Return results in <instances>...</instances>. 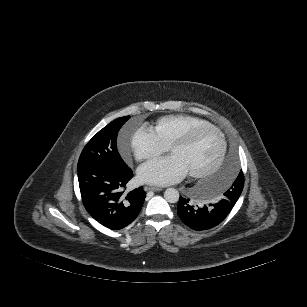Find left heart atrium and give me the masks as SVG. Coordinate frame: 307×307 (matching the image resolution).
<instances>
[{
    "label": "left heart atrium",
    "instance_id": "1",
    "mask_svg": "<svg viewBox=\"0 0 307 307\" xmlns=\"http://www.w3.org/2000/svg\"><path fill=\"white\" fill-rule=\"evenodd\" d=\"M188 171L175 156L157 158L138 168L137 176L141 182L154 185H167L181 180Z\"/></svg>",
    "mask_w": 307,
    "mask_h": 307
}]
</instances>
